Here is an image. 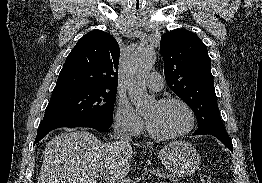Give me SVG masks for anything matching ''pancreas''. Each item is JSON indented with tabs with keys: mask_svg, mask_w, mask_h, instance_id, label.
<instances>
[{
	"mask_svg": "<svg viewBox=\"0 0 262 183\" xmlns=\"http://www.w3.org/2000/svg\"><path fill=\"white\" fill-rule=\"evenodd\" d=\"M166 178H169V179H171V180H173V181H175V180H176L175 178H173V177H170V176H166ZM156 183H165V182H156Z\"/></svg>",
	"mask_w": 262,
	"mask_h": 183,
	"instance_id": "cf45deb5",
	"label": "pancreas"
}]
</instances>
